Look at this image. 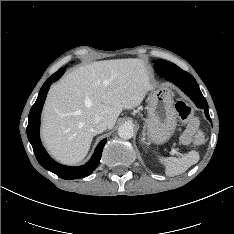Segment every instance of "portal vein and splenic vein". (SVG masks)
<instances>
[{"mask_svg":"<svg viewBox=\"0 0 234 234\" xmlns=\"http://www.w3.org/2000/svg\"><path fill=\"white\" fill-rule=\"evenodd\" d=\"M175 154L178 155V156H182V157L184 156L182 153H179L176 149L172 148L171 149V155H175Z\"/></svg>","mask_w":234,"mask_h":234,"instance_id":"1","label":"portal vein and splenic vein"}]
</instances>
